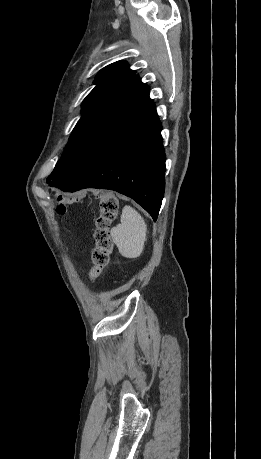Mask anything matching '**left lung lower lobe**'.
Wrapping results in <instances>:
<instances>
[{"instance_id":"left-lung-lower-lobe-1","label":"left lung lower lobe","mask_w":261,"mask_h":459,"mask_svg":"<svg viewBox=\"0 0 261 459\" xmlns=\"http://www.w3.org/2000/svg\"><path fill=\"white\" fill-rule=\"evenodd\" d=\"M161 124L149 98L84 165L57 188L115 190L134 199L156 221L164 195Z\"/></svg>"}]
</instances>
